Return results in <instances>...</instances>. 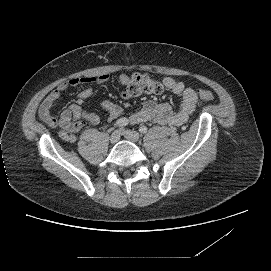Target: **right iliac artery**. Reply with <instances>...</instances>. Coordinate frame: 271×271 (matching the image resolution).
<instances>
[{
    "instance_id": "82829eb1",
    "label": "right iliac artery",
    "mask_w": 271,
    "mask_h": 271,
    "mask_svg": "<svg viewBox=\"0 0 271 271\" xmlns=\"http://www.w3.org/2000/svg\"><path fill=\"white\" fill-rule=\"evenodd\" d=\"M128 123H129V120L127 118H120L119 120L116 121L114 126L115 128H121L128 125Z\"/></svg>"
}]
</instances>
